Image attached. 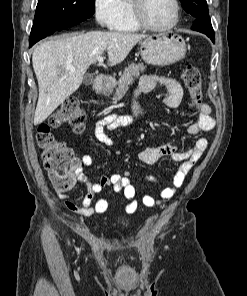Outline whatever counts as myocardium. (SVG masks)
<instances>
[{"mask_svg":"<svg viewBox=\"0 0 247 296\" xmlns=\"http://www.w3.org/2000/svg\"><path fill=\"white\" fill-rule=\"evenodd\" d=\"M171 2L174 8L172 21L165 26L158 27L149 24L144 17L143 10L145 0H130V6L135 23L139 26V28L153 32H166L173 29L179 22L181 8L178 0H171Z\"/></svg>","mask_w":247,"mask_h":296,"instance_id":"obj_1","label":"myocardium"}]
</instances>
